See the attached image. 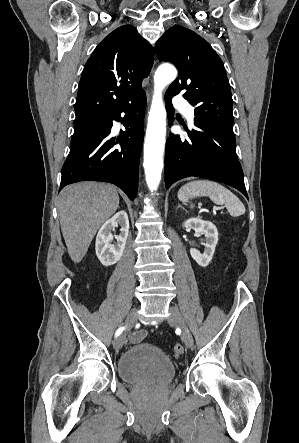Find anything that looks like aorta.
Segmentation results:
<instances>
[{
    "label": "aorta",
    "mask_w": 299,
    "mask_h": 443,
    "mask_svg": "<svg viewBox=\"0 0 299 443\" xmlns=\"http://www.w3.org/2000/svg\"><path fill=\"white\" fill-rule=\"evenodd\" d=\"M176 76L177 70L169 64L161 65L154 75V94L148 116L143 163L146 183L152 192L160 184L165 150L166 110L162 91Z\"/></svg>",
    "instance_id": "762f6f07"
}]
</instances>
